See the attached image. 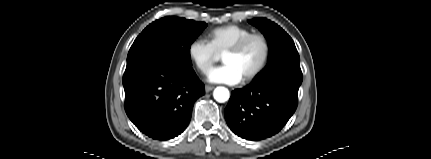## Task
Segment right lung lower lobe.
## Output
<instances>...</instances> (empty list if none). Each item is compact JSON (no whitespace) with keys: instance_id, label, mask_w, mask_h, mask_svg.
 <instances>
[{"instance_id":"98d812e1","label":"right lung lower lobe","mask_w":431,"mask_h":159,"mask_svg":"<svg viewBox=\"0 0 431 159\" xmlns=\"http://www.w3.org/2000/svg\"><path fill=\"white\" fill-rule=\"evenodd\" d=\"M123 86L129 119L142 133L160 141L185 130L194 102L205 94L192 67L158 55L128 64Z\"/></svg>"}]
</instances>
